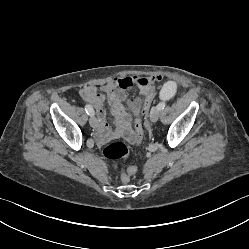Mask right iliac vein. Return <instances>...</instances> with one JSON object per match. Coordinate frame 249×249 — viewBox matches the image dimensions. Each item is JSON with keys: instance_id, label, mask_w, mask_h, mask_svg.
I'll return each mask as SVG.
<instances>
[{"instance_id": "1", "label": "right iliac vein", "mask_w": 249, "mask_h": 249, "mask_svg": "<svg viewBox=\"0 0 249 249\" xmlns=\"http://www.w3.org/2000/svg\"><path fill=\"white\" fill-rule=\"evenodd\" d=\"M89 123H90L91 127H93V128L97 127L98 121L94 115L90 116Z\"/></svg>"}]
</instances>
